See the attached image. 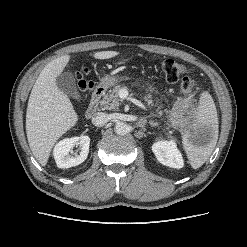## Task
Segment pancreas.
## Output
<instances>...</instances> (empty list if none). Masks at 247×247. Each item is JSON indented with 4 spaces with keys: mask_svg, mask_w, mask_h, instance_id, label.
<instances>
[{
    "mask_svg": "<svg viewBox=\"0 0 247 247\" xmlns=\"http://www.w3.org/2000/svg\"><path fill=\"white\" fill-rule=\"evenodd\" d=\"M121 89H127V87L124 84L117 85L113 89L108 91V93L100 101V105L102 109H106V110L118 109L120 105L118 97ZM144 100L148 103V105L153 106L151 93H148L144 97ZM156 112L159 116L162 115V111L160 110V108H158Z\"/></svg>",
    "mask_w": 247,
    "mask_h": 247,
    "instance_id": "1",
    "label": "pancreas"
}]
</instances>
